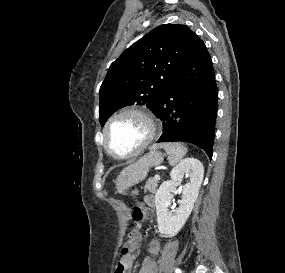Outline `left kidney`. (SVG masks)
I'll list each match as a JSON object with an SVG mask.
<instances>
[{
    "label": "left kidney",
    "mask_w": 285,
    "mask_h": 273,
    "mask_svg": "<svg viewBox=\"0 0 285 273\" xmlns=\"http://www.w3.org/2000/svg\"><path fill=\"white\" fill-rule=\"evenodd\" d=\"M189 176L190 182L183 187L179 207L170 212L171 192L181 184L183 176ZM204 175L203 164L195 158H186L171 171V180L161 184L155 194V205L159 233L164 237H173L179 233L190 216L197 200Z\"/></svg>",
    "instance_id": "1"
}]
</instances>
